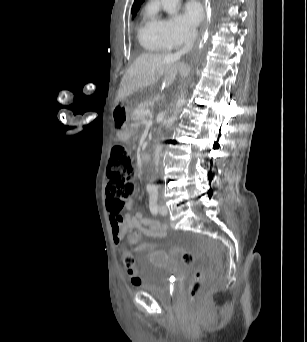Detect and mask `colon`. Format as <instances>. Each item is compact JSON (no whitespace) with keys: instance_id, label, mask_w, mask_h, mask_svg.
Wrapping results in <instances>:
<instances>
[{"instance_id":"obj_1","label":"colon","mask_w":307,"mask_h":342,"mask_svg":"<svg viewBox=\"0 0 307 342\" xmlns=\"http://www.w3.org/2000/svg\"><path fill=\"white\" fill-rule=\"evenodd\" d=\"M132 167L130 164V156L125 147L121 144L115 145L111 150L109 168L107 171V195L111 199L110 211L117 217L122 214L126 208V200L134 193V184L131 180ZM130 231V241L138 242L140 231L132 228ZM138 251H146V244H138ZM170 252L172 257H179L186 264L187 268H196L197 263L194 261V255L191 251L185 250L182 246H171ZM134 256L127 254L124 257V262L127 267L130 282L133 286H140L142 283L141 276L132 270L134 264ZM191 281H186L188 294L185 295L187 307H200V295L203 294V289L206 283L205 269H190Z\"/></svg>"}]
</instances>
